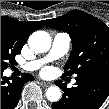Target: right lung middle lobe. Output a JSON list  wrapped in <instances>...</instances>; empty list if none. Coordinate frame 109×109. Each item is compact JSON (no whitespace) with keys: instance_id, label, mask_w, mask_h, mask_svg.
Here are the masks:
<instances>
[{"instance_id":"obj_1","label":"right lung middle lobe","mask_w":109,"mask_h":109,"mask_svg":"<svg viewBox=\"0 0 109 109\" xmlns=\"http://www.w3.org/2000/svg\"><path fill=\"white\" fill-rule=\"evenodd\" d=\"M22 46L16 45L10 39L1 36V71L8 67V63L15 61V56L20 54Z\"/></svg>"}]
</instances>
